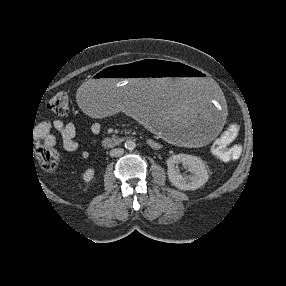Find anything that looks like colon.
Wrapping results in <instances>:
<instances>
[{
  "instance_id": "5ec220e1",
  "label": "colon",
  "mask_w": 286,
  "mask_h": 286,
  "mask_svg": "<svg viewBox=\"0 0 286 286\" xmlns=\"http://www.w3.org/2000/svg\"><path fill=\"white\" fill-rule=\"evenodd\" d=\"M69 103V95L66 92H60L49 101L48 108L55 115L65 116L69 112ZM239 131V124L231 123L213 144V152L222 159H229V146L237 138ZM34 153L45 172L54 173L56 171L59 155L55 149L43 141H36Z\"/></svg>"
}]
</instances>
